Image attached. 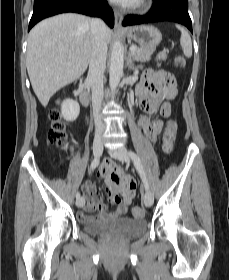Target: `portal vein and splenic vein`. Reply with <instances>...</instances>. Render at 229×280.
<instances>
[{"instance_id": "portal-vein-and-splenic-vein-1", "label": "portal vein and splenic vein", "mask_w": 229, "mask_h": 280, "mask_svg": "<svg viewBox=\"0 0 229 280\" xmlns=\"http://www.w3.org/2000/svg\"><path fill=\"white\" fill-rule=\"evenodd\" d=\"M130 52L131 53H134V52H136L137 51V48L136 47H134V46H132V47H130Z\"/></svg>"}]
</instances>
